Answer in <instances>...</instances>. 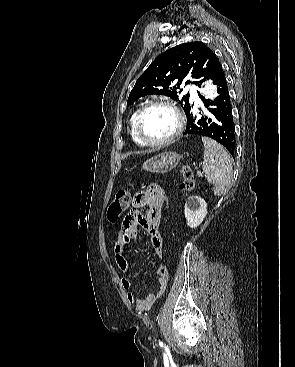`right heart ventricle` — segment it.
<instances>
[{
	"mask_svg": "<svg viewBox=\"0 0 295 367\" xmlns=\"http://www.w3.org/2000/svg\"><path fill=\"white\" fill-rule=\"evenodd\" d=\"M136 114H137V111L134 112L131 117H130V120H129V124H130V134H131V137L133 139V141L138 144V145H143L139 139L137 138L136 136V133H135V130H134V123H135V117H136Z\"/></svg>",
	"mask_w": 295,
	"mask_h": 367,
	"instance_id": "e07e8e85",
	"label": "right heart ventricle"
}]
</instances>
